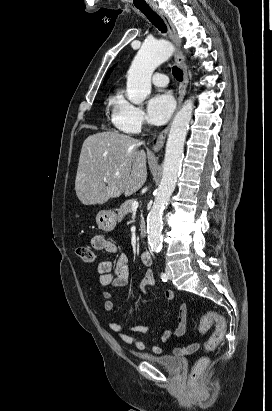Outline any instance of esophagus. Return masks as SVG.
I'll list each match as a JSON object with an SVG mask.
<instances>
[{
	"mask_svg": "<svg viewBox=\"0 0 272 411\" xmlns=\"http://www.w3.org/2000/svg\"><path fill=\"white\" fill-rule=\"evenodd\" d=\"M153 11L156 12L164 21V23L166 24L170 37L172 39V41L174 42L175 46H176V54H175V62L178 66H180L183 70L184 73V78L183 81L180 85V89H179V96H178V104H177V110L180 108L182 101L184 99V96L186 94V89L188 86V74L186 71V68L184 67V55L181 51V40L175 30L174 25L172 24L171 20L169 19V17L162 11L160 10L157 6L153 5L151 6ZM170 125L169 124L159 135V139L157 141V143L155 144V146L153 147V150L155 152H158L162 149V147L164 146L166 137L168 135V132L170 130Z\"/></svg>",
	"mask_w": 272,
	"mask_h": 411,
	"instance_id": "34e87169",
	"label": "esophagus"
}]
</instances>
